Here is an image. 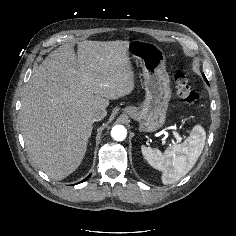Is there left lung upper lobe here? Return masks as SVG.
I'll return each mask as SVG.
<instances>
[{
    "label": "left lung upper lobe",
    "instance_id": "1",
    "mask_svg": "<svg viewBox=\"0 0 236 236\" xmlns=\"http://www.w3.org/2000/svg\"><path fill=\"white\" fill-rule=\"evenodd\" d=\"M204 79L207 81L206 77L203 75Z\"/></svg>",
    "mask_w": 236,
    "mask_h": 236
}]
</instances>
